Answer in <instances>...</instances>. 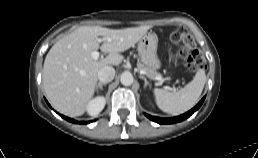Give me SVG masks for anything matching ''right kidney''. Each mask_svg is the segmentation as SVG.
<instances>
[{
	"label": "right kidney",
	"instance_id": "ca27d5eb",
	"mask_svg": "<svg viewBox=\"0 0 258 158\" xmlns=\"http://www.w3.org/2000/svg\"><path fill=\"white\" fill-rule=\"evenodd\" d=\"M104 106L105 98L98 96L87 104L86 110L89 115L96 116L103 110Z\"/></svg>",
	"mask_w": 258,
	"mask_h": 158
}]
</instances>
